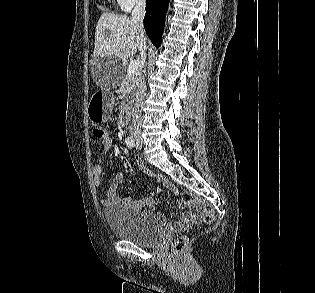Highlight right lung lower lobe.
Wrapping results in <instances>:
<instances>
[{
  "label": "right lung lower lobe",
  "mask_w": 315,
  "mask_h": 293,
  "mask_svg": "<svg viewBox=\"0 0 315 293\" xmlns=\"http://www.w3.org/2000/svg\"><path fill=\"white\" fill-rule=\"evenodd\" d=\"M170 0H146L144 28L151 42L159 47Z\"/></svg>",
  "instance_id": "obj_1"
}]
</instances>
